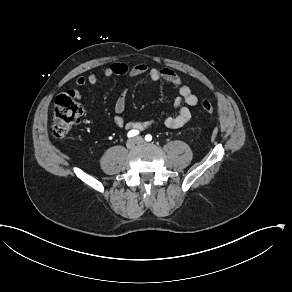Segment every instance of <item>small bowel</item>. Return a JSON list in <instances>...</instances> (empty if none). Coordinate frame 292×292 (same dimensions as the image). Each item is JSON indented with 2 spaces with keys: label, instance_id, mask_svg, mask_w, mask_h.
<instances>
[{
  "label": "small bowel",
  "instance_id": "c3829d8e",
  "mask_svg": "<svg viewBox=\"0 0 292 292\" xmlns=\"http://www.w3.org/2000/svg\"><path fill=\"white\" fill-rule=\"evenodd\" d=\"M146 74L151 80L159 81L164 80L174 85L179 92V96L174 101V107L177 110L176 115L168 116L165 119V126L171 129H176L184 126L191 119L190 107L198 103L197 96L193 93L192 89L183 83L181 77L169 68H155L149 67L146 64H136L129 66L125 63L115 62L103 70L102 75L91 73L88 76H80L76 79L78 87L86 85L100 84L104 79H108L114 75L136 77ZM73 94L78 100L82 99V95L77 90H72ZM128 96V89L124 88L114 106L116 116L113 123L116 127L123 129H137L144 130L154 124L155 120L126 122L122 117L126 108V101Z\"/></svg>",
  "mask_w": 292,
  "mask_h": 292
}]
</instances>
